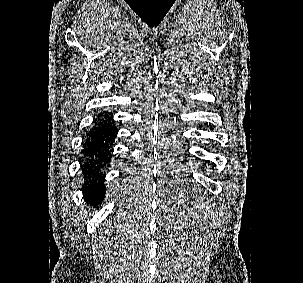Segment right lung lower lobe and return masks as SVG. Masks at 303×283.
Wrapping results in <instances>:
<instances>
[{"mask_svg":"<svg viewBox=\"0 0 303 283\" xmlns=\"http://www.w3.org/2000/svg\"><path fill=\"white\" fill-rule=\"evenodd\" d=\"M108 116V114H105ZM117 127L108 120L99 121L85 142L83 153L86 162L83 165L85 179V197L90 203H99L105 197L104 178L101 169L110 162V144L115 140Z\"/></svg>","mask_w":303,"mask_h":283,"instance_id":"98d812e1","label":"right lung lower lobe"}]
</instances>
